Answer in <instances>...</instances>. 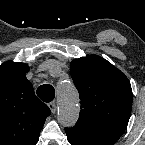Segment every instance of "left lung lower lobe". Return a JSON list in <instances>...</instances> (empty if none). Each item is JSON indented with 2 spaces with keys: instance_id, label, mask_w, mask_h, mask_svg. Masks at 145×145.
<instances>
[{
  "instance_id": "1",
  "label": "left lung lower lobe",
  "mask_w": 145,
  "mask_h": 145,
  "mask_svg": "<svg viewBox=\"0 0 145 145\" xmlns=\"http://www.w3.org/2000/svg\"><path fill=\"white\" fill-rule=\"evenodd\" d=\"M123 124L76 123L73 128H65L71 145H113L125 131Z\"/></svg>"
}]
</instances>
